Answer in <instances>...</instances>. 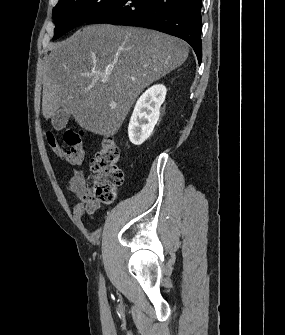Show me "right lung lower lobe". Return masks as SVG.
Instances as JSON below:
<instances>
[{
	"mask_svg": "<svg viewBox=\"0 0 285 335\" xmlns=\"http://www.w3.org/2000/svg\"><path fill=\"white\" fill-rule=\"evenodd\" d=\"M202 0H118L85 23L148 27L185 40L202 60Z\"/></svg>",
	"mask_w": 285,
	"mask_h": 335,
	"instance_id": "right-lung-lower-lobe-1",
	"label": "right lung lower lobe"
}]
</instances>
